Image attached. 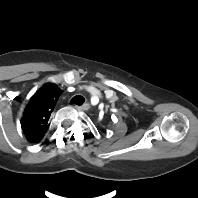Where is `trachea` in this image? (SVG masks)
Masks as SVG:
<instances>
[{
    "label": "trachea",
    "instance_id": "1",
    "mask_svg": "<svg viewBox=\"0 0 198 198\" xmlns=\"http://www.w3.org/2000/svg\"><path fill=\"white\" fill-rule=\"evenodd\" d=\"M85 99L80 96V95H76L71 99V104H76V105H82L84 103Z\"/></svg>",
    "mask_w": 198,
    "mask_h": 198
}]
</instances>
